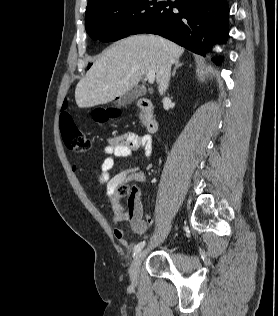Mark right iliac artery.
Instances as JSON below:
<instances>
[{"mask_svg": "<svg viewBox=\"0 0 278 316\" xmlns=\"http://www.w3.org/2000/svg\"><path fill=\"white\" fill-rule=\"evenodd\" d=\"M144 245H145V241L138 243V244L134 247L133 254L136 255L138 252H140V250L144 247Z\"/></svg>", "mask_w": 278, "mask_h": 316, "instance_id": "right-iliac-artery-1", "label": "right iliac artery"}]
</instances>
